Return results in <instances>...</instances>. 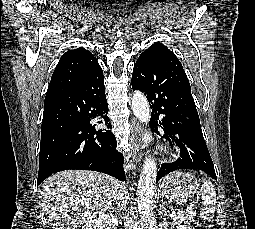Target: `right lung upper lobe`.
Returning <instances> with one entry per match:
<instances>
[{"label":"right lung upper lobe","mask_w":255,"mask_h":229,"mask_svg":"<svg viewBox=\"0 0 255 229\" xmlns=\"http://www.w3.org/2000/svg\"><path fill=\"white\" fill-rule=\"evenodd\" d=\"M100 67L88 50L80 47L62 55L51 77L44 105L67 98L78 82L91 70Z\"/></svg>","instance_id":"right-lung-upper-lobe-1"}]
</instances>
